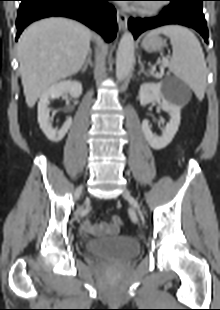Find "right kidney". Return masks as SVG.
<instances>
[{
  "instance_id": "obj_1",
  "label": "right kidney",
  "mask_w": 220,
  "mask_h": 310,
  "mask_svg": "<svg viewBox=\"0 0 220 310\" xmlns=\"http://www.w3.org/2000/svg\"><path fill=\"white\" fill-rule=\"evenodd\" d=\"M63 94H69L73 98H78L82 94L81 83L72 80H63L54 83L42 93L38 103V123L43 133L52 142L61 141L72 125L71 117L64 122L60 129H54L49 123V100L59 98Z\"/></svg>"
}]
</instances>
